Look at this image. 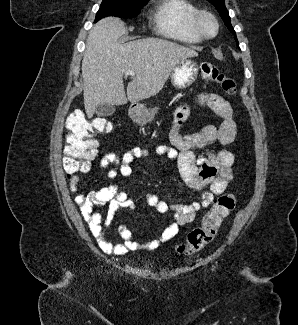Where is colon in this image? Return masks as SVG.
I'll use <instances>...</instances> for the list:
<instances>
[{
    "instance_id": "1",
    "label": "colon",
    "mask_w": 298,
    "mask_h": 325,
    "mask_svg": "<svg viewBox=\"0 0 298 325\" xmlns=\"http://www.w3.org/2000/svg\"><path fill=\"white\" fill-rule=\"evenodd\" d=\"M200 71L204 81L219 84L228 94L236 92L235 80L221 72L215 64L203 62ZM111 130L112 124L105 118L89 119L81 111L73 112L67 117L63 168L69 180L88 169L89 161L97 151L95 135L109 133ZM235 206L236 198L233 194L220 196L204 214L201 226L189 232L186 242L178 247V253L191 255L201 251L216 237L223 221Z\"/></svg>"
}]
</instances>
